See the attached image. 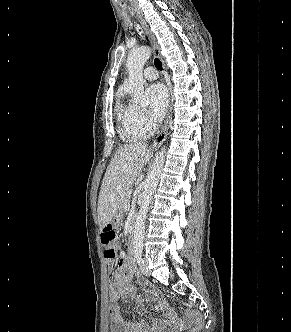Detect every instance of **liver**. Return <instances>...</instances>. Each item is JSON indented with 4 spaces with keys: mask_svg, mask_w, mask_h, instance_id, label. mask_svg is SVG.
I'll list each match as a JSON object with an SVG mask.
<instances>
[{
    "mask_svg": "<svg viewBox=\"0 0 291 332\" xmlns=\"http://www.w3.org/2000/svg\"><path fill=\"white\" fill-rule=\"evenodd\" d=\"M151 155L152 151L145 143L124 145L117 151L107 167L98 197L100 230L116 216L121 197L134 184Z\"/></svg>",
    "mask_w": 291,
    "mask_h": 332,
    "instance_id": "liver-1",
    "label": "liver"
}]
</instances>
